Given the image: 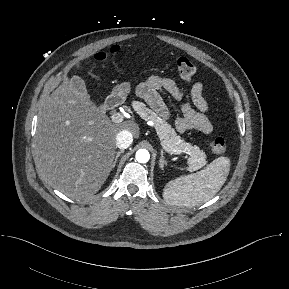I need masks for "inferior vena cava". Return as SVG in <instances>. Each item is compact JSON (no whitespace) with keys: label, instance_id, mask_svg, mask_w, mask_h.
<instances>
[{"label":"inferior vena cava","instance_id":"obj_1","mask_svg":"<svg viewBox=\"0 0 289 289\" xmlns=\"http://www.w3.org/2000/svg\"><path fill=\"white\" fill-rule=\"evenodd\" d=\"M133 142V136L128 130L119 131L116 137V146L120 149L128 148Z\"/></svg>","mask_w":289,"mask_h":289}]
</instances>
